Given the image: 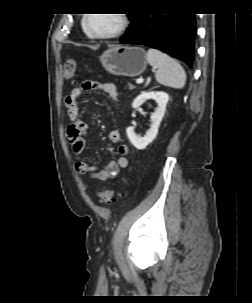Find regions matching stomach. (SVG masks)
I'll use <instances>...</instances> for the list:
<instances>
[{"mask_svg": "<svg viewBox=\"0 0 252 303\" xmlns=\"http://www.w3.org/2000/svg\"><path fill=\"white\" fill-rule=\"evenodd\" d=\"M102 66L113 75L136 77L147 67L145 51L140 47L117 46L106 50L100 57Z\"/></svg>", "mask_w": 252, "mask_h": 303, "instance_id": "obj_1", "label": "stomach"}]
</instances>
